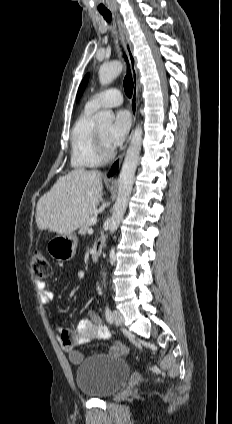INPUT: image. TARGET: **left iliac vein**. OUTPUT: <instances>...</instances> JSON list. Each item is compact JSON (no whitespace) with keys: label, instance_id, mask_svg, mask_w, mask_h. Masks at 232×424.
Instances as JSON below:
<instances>
[{"label":"left iliac vein","instance_id":"left-iliac-vein-1","mask_svg":"<svg viewBox=\"0 0 232 424\" xmlns=\"http://www.w3.org/2000/svg\"><path fill=\"white\" fill-rule=\"evenodd\" d=\"M112 319L115 325L121 326L124 323V318L122 314L119 311H113L112 313Z\"/></svg>","mask_w":232,"mask_h":424}]
</instances>
